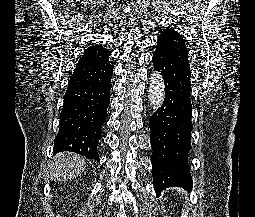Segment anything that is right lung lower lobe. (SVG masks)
<instances>
[{"mask_svg":"<svg viewBox=\"0 0 255 217\" xmlns=\"http://www.w3.org/2000/svg\"><path fill=\"white\" fill-rule=\"evenodd\" d=\"M109 59L77 64L68 82L54 152L72 151L100 160L97 145L110 103Z\"/></svg>","mask_w":255,"mask_h":217,"instance_id":"1","label":"right lung lower lobe"}]
</instances>
